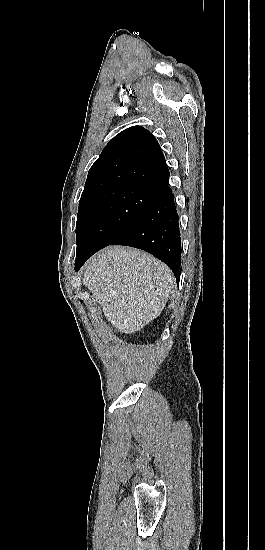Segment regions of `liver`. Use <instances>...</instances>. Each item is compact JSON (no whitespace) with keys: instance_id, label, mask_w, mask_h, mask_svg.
<instances>
[{"instance_id":"liver-1","label":"liver","mask_w":265,"mask_h":550,"mask_svg":"<svg viewBox=\"0 0 265 550\" xmlns=\"http://www.w3.org/2000/svg\"><path fill=\"white\" fill-rule=\"evenodd\" d=\"M170 268L152 255L110 246L86 264L84 285L119 332L132 334L158 317L174 287Z\"/></svg>"}]
</instances>
